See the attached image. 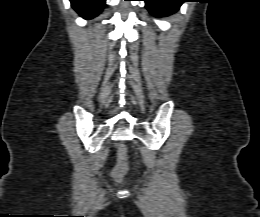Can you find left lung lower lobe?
<instances>
[{
  "label": "left lung lower lobe",
  "mask_w": 260,
  "mask_h": 217,
  "mask_svg": "<svg viewBox=\"0 0 260 217\" xmlns=\"http://www.w3.org/2000/svg\"><path fill=\"white\" fill-rule=\"evenodd\" d=\"M146 8L155 17H166L179 10L184 0H143Z\"/></svg>",
  "instance_id": "obj_1"
}]
</instances>
